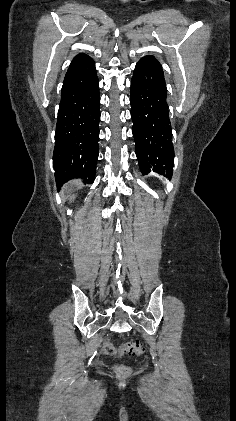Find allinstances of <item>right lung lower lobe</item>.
Segmentation results:
<instances>
[{"label":"right lung lower lobe","instance_id":"obj_1","mask_svg":"<svg viewBox=\"0 0 236 421\" xmlns=\"http://www.w3.org/2000/svg\"><path fill=\"white\" fill-rule=\"evenodd\" d=\"M100 95L95 63L75 57L65 75L55 133L57 187L73 178L93 183L98 159Z\"/></svg>","mask_w":236,"mask_h":421}]
</instances>
